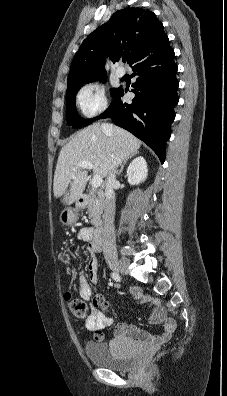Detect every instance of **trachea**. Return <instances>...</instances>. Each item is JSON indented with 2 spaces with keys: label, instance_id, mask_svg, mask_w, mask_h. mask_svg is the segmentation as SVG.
Returning <instances> with one entry per match:
<instances>
[{
  "label": "trachea",
  "instance_id": "trachea-1",
  "mask_svg": "<svg viewBox=\"0 0 227 396\" xmlns=\"http://www.w3.org/2000/svg\"><path fill=\"white\" fill-rule=\"evenodd\" d=\"M122 61L125 63L126 62V58H123Z\"/></svg>",
  "mask_w": 227,
  "mask_h": 396
}]
</instances>
